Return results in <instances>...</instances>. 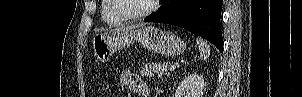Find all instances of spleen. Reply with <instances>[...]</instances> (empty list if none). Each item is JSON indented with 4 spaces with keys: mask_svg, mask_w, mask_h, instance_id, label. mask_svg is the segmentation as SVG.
<instances>
[{
    "mask_svg": "<svg viewBox=\"0 0 302 97\" xmlns=\"http://www.w3.org/2000/svg\"><path fill=\"white\" fill-rule=\"evenodd\" d=\"M196 42L198 44L199 51H200V59L201 60H206L210 56V46H209V44L201 38H197Z\"/></svg>",
    "mask_w": 302,
    "mask_h": 97,
    "instance_id": "obj_1",
    "label": "spleen"
}]
</instances>
